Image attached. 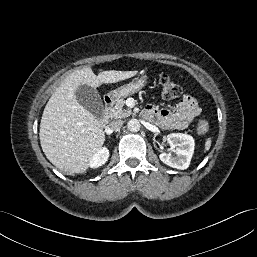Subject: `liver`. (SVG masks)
<instances>
[{
    "label": "liver",
    "instance_id": "6515ba94",
    "mask_svg": "<svg viewBox=\"0 0 257 257\" xmlns=\"http://www.w3.org/2000/svg\"><path fill=\"white\" fill-rule=\"evenodd\" d=\"M136 74V70H109L96 76L86 67L65 78L47 102L40 123L41 147L54 166L69 174L83 173L105 141L102 124L76 99L78 86L95 89L102 83H116Z\"/></svg>",
    "mask_w": 257,
    "mask_h": 257
}]
</instances>
